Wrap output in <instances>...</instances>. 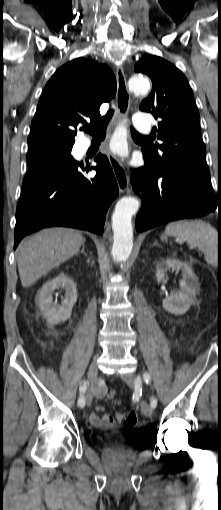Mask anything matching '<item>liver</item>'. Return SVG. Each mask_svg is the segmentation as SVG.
I'll use <instances>...</instances> for the list:
<instances>
[{
  "label": "liver",
  "mask_w": 221,
  "mask_h": 510,
  "mask_svg": "<svg viewBox=\"0 0 221 510\" xmlns=\"http://www.w3.org/2000/svg\"><path fill=\"white\" fill-rule=\"evenodd\" d=\"M84 243L79 231L44 229L18 246V271L24 288L73 257Z\"/></svg>",
  "instance_id": "1"
}]
</instances>
